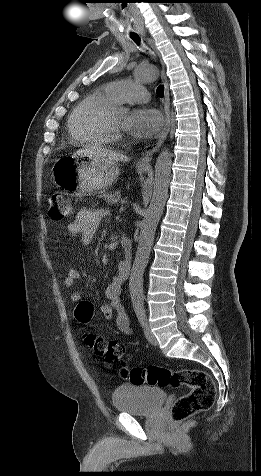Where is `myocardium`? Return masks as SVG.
<instances>
[{"mask_svg":"<svg viewBox=\"0 0 261 476\" xmlns=\"http://www.w3.org/2000/svg\"><path fill=\"white\" fill-rule=\"evenodd\" d=\"M107 127L114 134L122 131V128L114 123L112 112H110L109 115L107 116Z\"/></svg>","mask_w":261,"mask_h":476,"instance_id":"obj_1","label":"myocardium"}]
</instances>
